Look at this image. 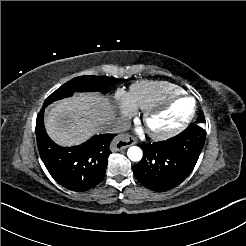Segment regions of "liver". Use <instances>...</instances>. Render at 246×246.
Returning <instances> with one entry per match:
<instances>
[{
	"instance_id": "6515ba94",
	"label": "liver",
	"mask_w": 246,
	"mask_h": 246,
	"mask_svg": "<svg viewBox=\"0 0 246 246\" xmlns=\"http://www.w3.org/2000/svg\"><path fill=\"white\" fill-rule=\"evenodd\" d=\"M115 107L98 94H79L57 102L45 118L49 136L62 146L78 145L112 123Z\"/></svg>"
}]
</instances>
